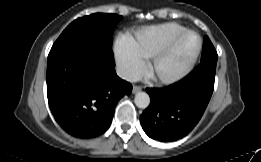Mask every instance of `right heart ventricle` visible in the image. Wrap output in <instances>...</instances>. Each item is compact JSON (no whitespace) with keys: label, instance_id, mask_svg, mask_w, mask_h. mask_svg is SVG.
Instances as JSON below:
<instances>
[{"label":"right heart ventricle","instance_id":"e07e8e85","mask_svg":"<svg viewBox=\"0 0 261 162\" xmlns=\"http://www.w3.org/2000/svg\"><path fill=\"white\" fill-rule=\"evenodd\" d=\"M186 30L174 22L140 28L129 36L131 48L143 59L150 58L176 34Z\"/></svg>","mask_w":261,"mask_h":162}]
</instances>
